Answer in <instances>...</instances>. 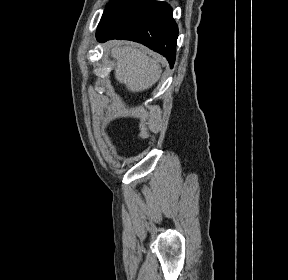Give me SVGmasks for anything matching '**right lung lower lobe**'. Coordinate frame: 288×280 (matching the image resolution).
Instances as JSON below:
<instances>
[{"label":"right lung lower lobe","instance_id":"1","mask_svg":"<svg viewBox=\"0 0 288 280\" xmlns=\"http://www.w3.org/2000/svg\"><path fill=\"white\" fill-rule=\"evenodd\" d=\"M96 37L136 41L163 55L171 68L175 62L178 27L165 2L124 0L103 14Z\"/></svg>","mask_w":288,"mask_h":280}]
</instances>
